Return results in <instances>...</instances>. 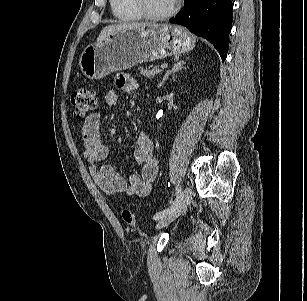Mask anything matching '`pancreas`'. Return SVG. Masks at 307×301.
<instances>
[{
    "mask_svg": "<svg viewBox=\"0 0 307 301\" xmlns=\"http://www.w3.org/2000/svg\"><path fill=\"white\" fill-rule=\"evenodd\" d=\"M139 69H140V73L147 78L154 77L155 75L161 73L162 71L161 69H159L158 66H150L148 68L140 67Z\"/></svg>",
    "mask_w": 307,
    "mask_h": 301,
    "instance_id": "obj_1",
    "label": "pancreas"
}]
</instances>
